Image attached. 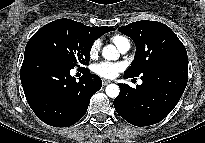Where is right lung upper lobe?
<instances>
[{
    "instance_id": "cb5924a9",
    "label": "right lung upper lobe",
    "mask_w": 205,
    "mask_h": 143,
    "mask_svg": "<svg viewBox=\"0 0 205 143\" xmlns=\"http://www.w3.org/2000/svg\"><path fill=\"white\" fill-rule=\"evenodd\" d=\"M82 24V23H81ZM83 25V24H82ZM83 27L86 29V31L94 38L97 39L98 37H100L101 35L114 30V28L112 27H89V26H85L83 25Z\"/></svg>"
}]
</instances>
